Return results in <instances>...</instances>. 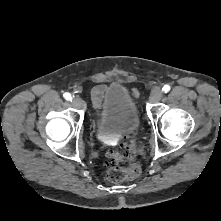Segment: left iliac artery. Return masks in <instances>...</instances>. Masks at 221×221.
<instances>
[{
  "label": "left iliac artery",
  "mask_w": 221,
  "mask_h": 221,
  "mask_svg": "<svg viewBox=\"0 0 221 221\" xmlns=\"http://www.w3.org/2000/svg\"><path fill=\"white\" fill-rule=\"evenodd\" d=\"M162 91H163L164 93L169 92V91H170V86H169V85H165V86L162 88Z\"/></svg>",
  "instance_id": "obj_1"
}]
</instances>
